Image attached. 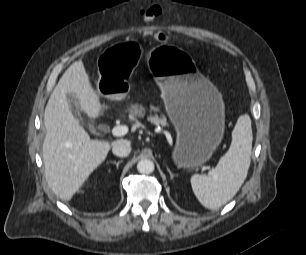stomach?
<instances>
[{"label":"stomach","instance_id":"obj_1","mask_svg":"<svg viewBox=\"0 0 306 255\" xmlns=\"http://www.w3.org/2000/svg\"><path fill=\"white\" fill-rule=\"evenodd\" d=\"M140 56L134 42L110 46L98 58L100 96L121 100L130 91L126 77ZM144 64L155 73L167 114L177 132L173 159L180 167L204 164L220 144L224 133V104L212 83L196 72L195 61L183 50L152 45Z\"/></svg>","mask_w":306,"mask_h":255}]
</instances>
